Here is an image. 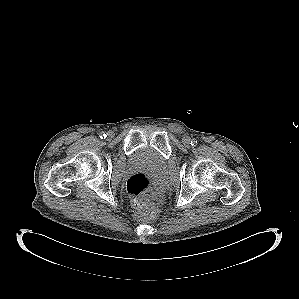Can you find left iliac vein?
Masks as SVG:
<instances>
[{"label": "left iliac vein", "instance_id": "obj_1", "mask_svg": "<svg viewBox=\"0 0 299 299\" xmlns=\"http://www.w3.org/2000/svg\"><path fill=\"white\" fill-rule=\"evenodd\" d=\"M182 142L185 146H190L191 139L188 136L182 138Z\"/></svg>", "mask_w": 299, "mask_h": 299}]
</instances>
